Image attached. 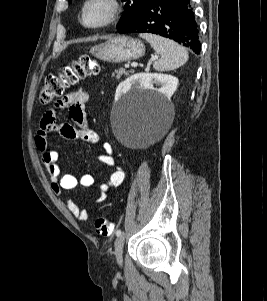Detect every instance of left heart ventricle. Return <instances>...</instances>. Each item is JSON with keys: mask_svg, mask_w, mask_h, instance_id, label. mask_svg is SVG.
<instances>
[{"mask_svg": "<svg viewBox=\"0 0 267 301\" xmlns=\"http://www.w3.org/2000/svg\"><path fill=\"white\" fill-rule=\"evenodd\" d=\"M108 12V8L105 3L97 1L92 3L86 11V21L88 23H96L102 20Z\"/></svg>", "mask_w": 267, "mask_h": 301, "instance_id": "b2bd125f", "label": "left heart ventricle"}]
</instances>
